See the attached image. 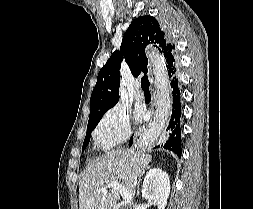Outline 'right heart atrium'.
Segmentation results:
<instances>
[{
	"mask_svg": "<svg viewBox=\"0 0 253 209\" xmlns=\"http://www.w3.org/2000/svg\"><path fill=\"white\" fill-rule=\"evenodd\" d=\"M131 134L128 112L120 107H113L97 123L93 139L98 148L108 151L125 143Z\"/></svg>",
	"mask_w": 253,
	"mask_h": 209,
	"instance_id": "obj_1",
	"label": "right heart atrium"
}]
</instances>
